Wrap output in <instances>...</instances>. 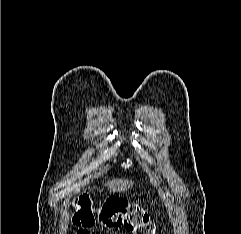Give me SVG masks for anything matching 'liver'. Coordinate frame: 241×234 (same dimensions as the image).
<instances>
[{"label": "liver", "instance_id": "obj_1", "mask_svg": "<svg viewBox=\"0 0 241 234\" xmlns=\"http://www.w3.org/2000/svg\"><path fill=\"white\" fill-rule=\"evenodd\" d=\"M134 184L133 181L127 179H113L105 183L110 191L113 192H123L132 187Z\"/></svg>", "mask_w": 241, "mask_h": 234}]
</instances>
